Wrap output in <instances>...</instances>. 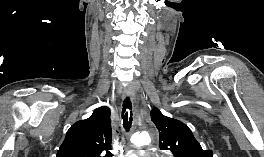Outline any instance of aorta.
<instances>
[{
    "mask_svg": "<svg viewBox=\"0 0 264 157\" xmlns=\"http://www.w3.org/2000/svg\"><path fill=\"white\" fill-rule=\"evenodd\" d=\"M151 139L150 136L147 133H136L133 137H132V142L133 144L141 149L142 147L149 145Z\"/></svg>",
    "mask_w": 264,
    "mask_h": 157,
    "instance_id": "762f6f07",
    "label": "aorta"
}]
</instances>
